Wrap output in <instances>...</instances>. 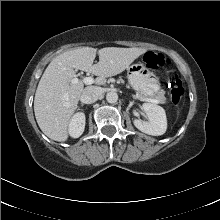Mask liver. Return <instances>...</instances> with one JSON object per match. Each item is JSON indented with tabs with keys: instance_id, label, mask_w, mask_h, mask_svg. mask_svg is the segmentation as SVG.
Wrapping results in <instances>:
<instances>
[{
	"instance_id": "liver-1",
	"label": "liver",
	"mask_w": 220,
	"mask_h": 220,
	"mask_svg": "<svg viewBox=\"0 0 220 220\" xmlns=\"http://www.w3.org/2000/svg\"><path fill=\"white\" fill-rule=\"evenodd\" d=\"M146 51L136 47H106L98 51L79 47L53 58L39 81L34 98L35 117L42 132L55 141L68 139V126L84 88L83 82L76 78V70L96 75V84L104 85L107 77L120 74ZM96 53L99 62L93 64ZM73 79L77 82L73 83Z\"/></svg>"
}]
</instances>
